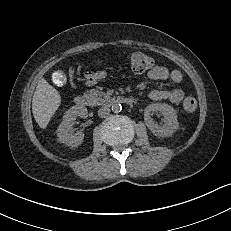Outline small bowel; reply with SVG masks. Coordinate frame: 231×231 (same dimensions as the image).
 I'll return each instance as SVG.
<instances>
[{
    "mask_svg": "<svg viewBox=\"0 0 231 231\" xmlns=\"http://www.w3.org/2000/svg\"><path fill=\"white\" fill-rule=\"evenodd\" d=\"M106 77L107 72L104 70L86 72L84 74V81L86 85H93ZM148 78L152 81H171L173 83H180L183 76L179 70H169L164 66L155 65L148 72ZM147 96L153 101L168 100L172 103H179L184 98V92L179 88L173 90H151L148 92Z\"/></svg>",
    "mask_w": 231,
    "mask_h": 231,
    "instance_id": "1",
    "label": "small bowel"
}]
</instances>
